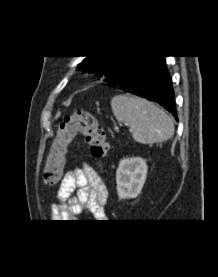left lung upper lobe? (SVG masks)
<instances>
[{
	"mask_svg": "<svg viewBox=\"0 0 218 277\" xmlns=\"http://www.w3.org/2000/svg\"><path fill=\"white\" fill-rule=\"evenodd\" d=\"M133 58L135 56H87L78 67L98 78L107 79L127 65Z\"/></svg>",
	"mask_w": 218,
	"mask_h": 277,
	"instance_id": "1",
	"label": "left lung upper lobe"
}]
</instances>
